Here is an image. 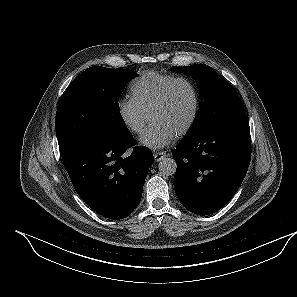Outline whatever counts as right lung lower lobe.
<instances>
[{
  "mask_svg": "<svg viewBox=\"0 0 297 297\" xmlns=\"http://www.w3.org/2000/svg\"><path fill=\"white\" fill-rule=\"evenodd\" d=\"M132 134L103 135L77 147L63 163L74 188L94 211L109 219L127 217L139 204L153 154L134 147Z\"/></svg>",
  "mask_w": 297,
  "mask_h": 297,
  "instance_id": "obj_1",
  "label": "right lung lower lobe"
}]
</instances>
